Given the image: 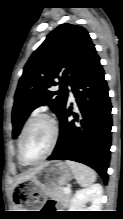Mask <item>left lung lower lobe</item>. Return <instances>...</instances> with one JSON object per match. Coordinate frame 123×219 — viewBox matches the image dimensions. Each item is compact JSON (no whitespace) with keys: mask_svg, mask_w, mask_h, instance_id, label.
<instances>
[{"mask_svg":"<svg viewBox=\"0 0 123 219\" xmlns=\"http://www.w3.org/2000/svg\"><path fill=\"white\" fill-rule=\"evenodd\" d=\"M104 70L98 55L82 69L72 84L78 106L65 105L61 112L60 135L52 155L47 160H72L95 169L108 181L107 168L111 146V102ZM74 119L69 120L68 116Z\"/></svg>","mask_w":123,"mask_h":219,"instance_id":"obj_1","label":"left lung lower lobe"}]
</instances>
